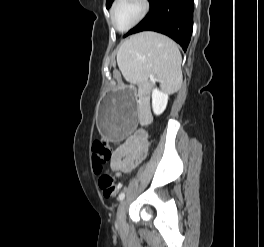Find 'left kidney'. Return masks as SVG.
Returning <instances> with one entry per match:
<instances>
[{"mask_svg":"<svg viewBox=\"0 0 264 247\" xmlns=\"http://www.w3.org/2000/svg\"><path fill=\"white\" fill-rule=\"evenodd\" d=\"M168 94L164 91H161L157 88H154L152 91V109L154 114L160 115L166 109L168 103Z\"/></svg>","mask_w":264,"mask_h":247,"instance_id":"5707ae66","label":"left kidney"}]
</instances>
